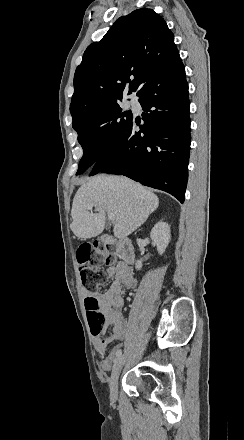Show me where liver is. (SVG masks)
<instances>
[{
    "instance_id": "1",
    "label": "liver",
    "mask_w": 244,
    "mask_h": 440,
    "mask_svg": "<svg viewBox=\"0 0 244 440\" xmlns=\"http://www.w3.org/2000/svg\"><path fill=\"white\" fill-rule=\"evenodd\" d=\"M88 206L97 214H90ZM159 198L124 176H95L80 186L73 200L70 228L77 238H95L105 228L106 214H114V236L127 238L157 210Z\"/></svg>"
}]
</instances>
